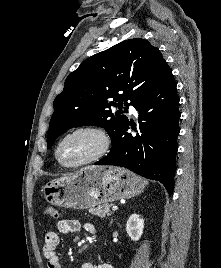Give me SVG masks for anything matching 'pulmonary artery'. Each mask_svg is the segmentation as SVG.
<instances>
[{
    "label": "pulmonary artery",
    "mask_w": 221,
    "mask_h": 268,
    "mask_svg": "<svg viewBox=\"0 0 221 268\" xmlns=\"http://www.w3.org/2000/svg\"><path fill=\"white\" fill-rule=\"evenodd\" d=\"M129 112L132 114H136V109L134 108L132 104H129Z\"/></svg>",
    "instance_id": "e3ab8cb5"
}]
</instances>
